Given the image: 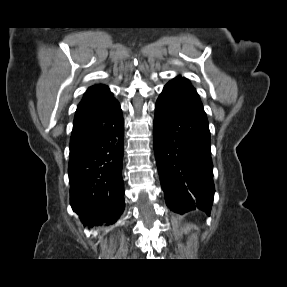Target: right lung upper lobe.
Masks as SVG:
<instances>
[{"label":"right lung upper lobe","mask_w":287,"mask_h":287,"mask_svg":"<svg viewBox=\"0 0 287 287\" xmlns=\"http://www.w3.org/2000/svg\"><path fill=\"white\" fill-rule=\"evenodd\" d=\"M116 100L109 88L103 84L90 87L77 107L75 116L91 113Z\"/></svg>","instance_id":"cb5924a9"}]
</instances>
